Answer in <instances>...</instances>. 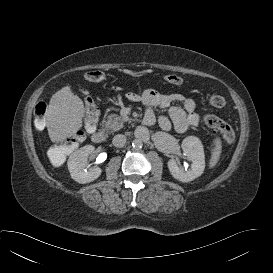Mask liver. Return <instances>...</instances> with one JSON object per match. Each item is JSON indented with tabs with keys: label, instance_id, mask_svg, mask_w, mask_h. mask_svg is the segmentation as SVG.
<instances>
[{
	"label": "liver",
	"instance_id": "obj_1",
	"mask_svg": "<svg viewBox=\"0 0 273 273\" xmlns=\"http://www.w3.org/2000/svg\"><path fill=\"white\" fill-rule=\"evenodd\" d=\"M84 115L83 101L69 87L56 92L50 99L46 114L50 140L60 142L75 135L82 127Z\"/></svg>",
	"mask_w": 273,
	"mask_h": 273
}]
</instances>
